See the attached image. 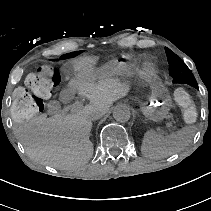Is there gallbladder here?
Segmentation results:
<instances>
[{"label": "gallbladder", "instance_id": "bac80fb5", "mask_svg": "<svg viewBox=\"0 0 211 211\" xmlns=\"http://www.w3.org/2000/svg\"><path fill=\"white\" fill-rule=\"evenodd\" d=\"M82 96L79 92L77 91H72L70 89H63L60 92V96H59V101L64 103V104H68L70 102L77 104L81 101Z\"/></svg>", "mask_w": 211, "mask_h": 211}]
</instances>
